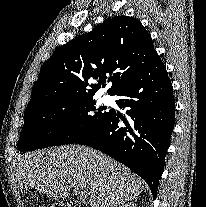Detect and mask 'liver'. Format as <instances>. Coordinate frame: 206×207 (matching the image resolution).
Here are the masks:
<instances>
[{"label":"liver","mask_w":206,"mask_h":207,"mask_svg":"<svg viewBox=\"0 0 206 207\" xmlns=\"http://www.w3.org/2000/svg\"><path fill=\"white\" fill-rule=\"evenodd\" d=\"M18 188L33 187L53 198H65L72 188L84 191L91 207H117L141 193V180L109 156L79 145L38 150L16 167Z\"/></svg>","instance_id":"liver-1"}]
</instances>
